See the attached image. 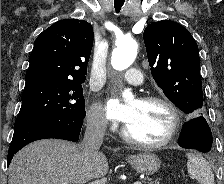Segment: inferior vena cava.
<instances>
[{"instance_id":"1","label":"inferior vena cava","mask_w":224,"mask_h":184,"mask_svg":"<svg viewBox=\"0 0 224 184\" xmlns=\"http://www.w3.org/2000/svg\"><path fill=\"white\" fill-rule=\"evenodd\" d=\"M106 125L107 122L101 115L94 116L88 120L84 139L79 145L85 159H89L98 153L103 142Z\"/></svg>"}]
</instances>
